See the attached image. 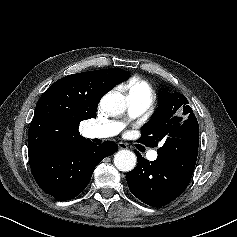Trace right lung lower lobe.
Segmentation results:
<instances>
[{
	"mask_svg": "<svg viewBox=\"0 0 237 237\" xmlns=\"http://www.w3.org/2000/svg\"><path fill=\"white\" fill-rule=\"evenodd\" d=\"M117 150L115 142L97 146L82 138L34 154L29 157V164L35 181L45 193L58 200H69L85 189L97 164Z\"/></svg>",
	"mask_w": 237,
	"mask_h": 237,
	"instance_id": "right-lung-lower-lobe-1",
	"label": "right lung lower lobe"
}]
</instances>
